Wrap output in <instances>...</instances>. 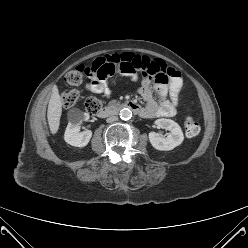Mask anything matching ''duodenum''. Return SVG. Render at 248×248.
<instances>
[{"mask_svg": "<svg viewBox=\"0 0 248 248\" xmlns=\"http://www.w3.org/2000/svg\"><path fill=\"white\" fill-rule=\"evenodd\" d=\"M123 107H127V108L131 109L136 114L141 112V108L139 107V105H137L136 103H133V102L125 103V105ZM117 111H118V109H116V108L104 107L97 112V117L105 118V117H108V116L116 113Z\"/></svg>", "mask_w": 248, "mask_h": 248, "instance_id": "obj_1", "label": "duodenum"}]
</instances>
